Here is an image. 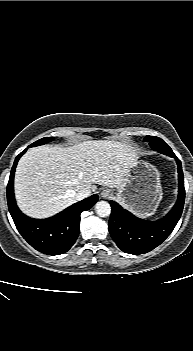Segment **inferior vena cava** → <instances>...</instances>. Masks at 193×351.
I'll list each match as a JSON object with an SVG mask.
<instances>
[{"instance_id": "602c4592", "label": "inferior vena cava", "mask_w": 193, "mask_h": 351, "mask_svg": "<svg viewBox=\"0 0 193 351\" xmlns=\"http://www.w3.org/2000/svg\"><path fill=\"white\" fill-rule=\"evenodd\" d=\"M90 194H91L90 189H82L75 194V198L76 200L80 201L90 196Z\"/></svg>"}]
</instances>
